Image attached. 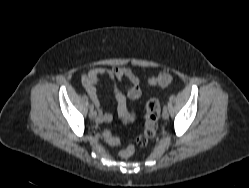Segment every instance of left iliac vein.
<instances>
[{"mask_svg": "<svg viewBox=\"0 0 249 188\" xmlns=\"http://www.w3.org/2000/svg\"><path fill=\"white\" fill-rule=\"evenodd\" d=\"M162 118L164 120H167L169 118V113H168L167 110H163V112H162Z\"/></svg>", "mask_w": 249, "mask_h": 188, "instance_id": "4c4485c4", "label": "left iliac vein"}]
</instances>
